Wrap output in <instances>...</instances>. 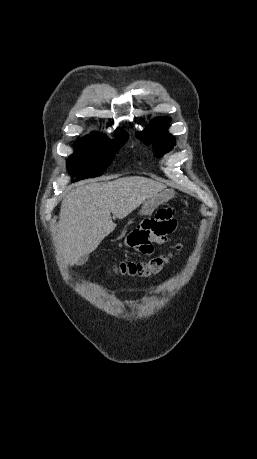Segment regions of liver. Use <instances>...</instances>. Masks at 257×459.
<instances>
[{
	"label": "liver",
	"mask_w": 257,
	"mask_h": 459,
	"mask_svg": "<svg viewBox=\"0 0 257 459\" xmlns=\"http://www.w3.org/2000/svg\"><path fill=\"white\" fill-rule=\"evenodd\" d=\"M165 189L157 181L131 176L72 190L61 203L55 235L58 257H62L64 264H77L81 256L95 251L116 228L111 214L123 219Z\"/></svg>",
	"instance_id": "6515ba94"
}]
</instances>
